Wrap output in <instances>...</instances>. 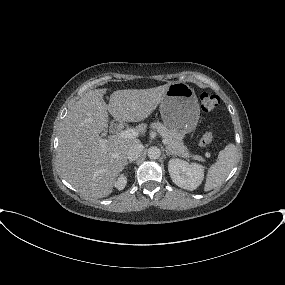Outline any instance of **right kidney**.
<instances>
[{
    "mask_svg": "<svg viewBox=\"0 0 285 285\" xmlns=\"http://www.w3.org/2000/svg\"><path fill=\"white\" fill-rule=\"evenodd\" d=\"M127 184V177L122 174L120 175V177L115 181L114 186L118 189V190H122L125 188Z\"/></svg>",
    "mask_w": 285,
    "mask_h": 285,
    "instance_id": "obj_1",
    "label": "right kidney"
}]
</instances>
